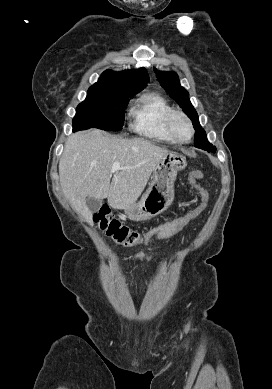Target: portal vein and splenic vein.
Returning <instances> with one entry per match:
<instances>
[{"label":"portal vein and splenic vein","mask_w":272,"mask_h":389,"mask_svg":"<svg viewBox=\"0 0 272 389\" xmlns=\"http://www.w3.org/2000/svg\"><path fill=\"white\" fill-rule=\"evenodd\" d=\"M120 169V163L115 162L110 170V173H117V171Z\"/></svg>","instance_id":"portal-vein-and-splenic-vein-1"}]
</instances>
